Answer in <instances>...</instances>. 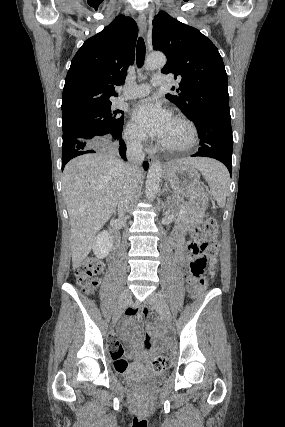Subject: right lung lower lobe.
Instances as JSON below:
<instances>
[{"mask_svg": "<svg viewBox=\"0 0 285 427\" xmlns=\"http://www.w3.org/2000/svg\"><path fill=\"white\" fill-rule=\"evenodd\" d=\"M77 144L74 147H69L67 149H63V153H62V170L64 168V166L66 165V163L71 160L72 158L85 154V153H94L96 152V150H98L99 148H102L103 145H90L87 141L80 139L76 141ZM119 146V153L121 155V157L124 160L126 159V146L124 144V141L122 140L121 136L120 138H118L117 140V146ZM105 146V145H104ZM143 167L145 170L148 169L149 165L147 162L143 163Z\"/></svg>", "mask_w": 285, "mask_h": 427, "instance_id": "98d812e1", "label": "right lung lower lobe"}]
</instances>
